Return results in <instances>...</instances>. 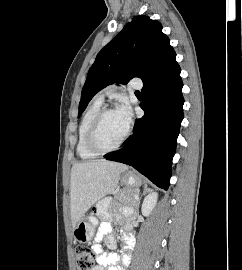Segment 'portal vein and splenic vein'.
<instances>
[{"mask_svg": "<svg viewBox=\"0 0 242 270\" xmlns=\"http://www.w3.org/2000/svg\"><path fill=\"white\" fill-rule=\"evenodd\" d=\"M135 200H138V196L137 195L135 196Z\"/></svg>", "mask_w": 242, "mask_h": 270, "instance_id": "18ae733b", "label": "portal vein and splenic vein"}]
</instances>
